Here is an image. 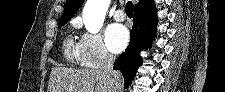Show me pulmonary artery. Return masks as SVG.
<instances>
[{
    "label": "pulmonary artery",
    "instance_id": "e3ab8cb5",
    "mask_svg": "<svg viewBox=\"0 0 225 92\" xmlns=\"http://www.w3.org/2000/svg\"><path fill=\"white\" fill-rule=\"evenodd\" d=\"M113 18L116 21H123L125 19V14L122 10H117L113 13Z\"/></svg>",
    "mask_w": 225,
    "mask_h": 92
}]
</instances>
